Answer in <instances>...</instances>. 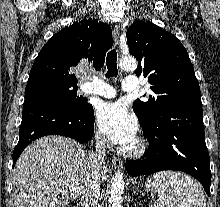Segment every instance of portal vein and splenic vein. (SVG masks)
I'll list each match as a JSON object with an SVG mask.
<instances>
[{
	"mask_svg": "<svg viewBox=\"0 0 220 207\" xmlns=\"http://www.w3.org/2000/svg\"><path fill=\"white\" fill-rule=\"evenodd\" d=\"M57 192H61V189H57Z\"/></svg>",
	"mask_w": 220,
	"mask_h": 207,
	"instance_id": "obj_1",
	"label": "portal vein and splenic vein"
}]
</instances>
